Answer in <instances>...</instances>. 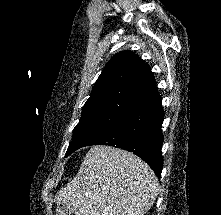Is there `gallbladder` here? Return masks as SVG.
<instances>
[{"label":"gallbladder","instance_id":"bac80fb5","mask_svg":"<svg viewBox=\"0 0 221 215\" xmlns=\"http://www.w3.org/2000/svg\"><path fill=\"white\" fill-rule=\"evenodd\" d=\"M57 214L56 215H71L73 212L72 205L69 203L59 204L57 206Z\"/></svg>","mask_w":221,"mask_h":215}]
</instances>
